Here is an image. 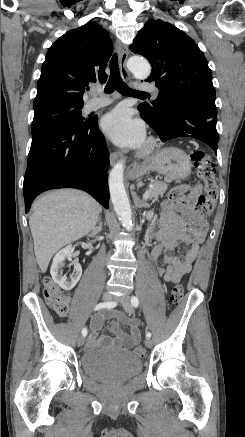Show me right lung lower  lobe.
<instances>
[{
    "label": "right lung lower lobe",
    "instance_id": "obj_1",
    "mask_svg": "<svg viewBox=\"0 0 245 437\" xmlns=\"http://www.w3.org/2000/svg\"><path fill=\"white\" fill-rule=\"evenodd\" d=\"M109 152L97 118L81 127L53 122L32 134L24 177L26 213L40 193L59 188L88 192L109 208Z\"/></svg>",
    "mask_w": 245,
    "mask_h": 437
}]
</instances>
